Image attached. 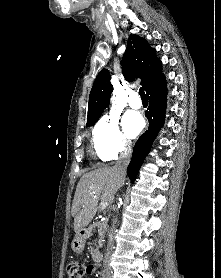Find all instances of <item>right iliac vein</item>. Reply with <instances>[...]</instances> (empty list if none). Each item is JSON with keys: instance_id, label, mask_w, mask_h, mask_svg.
Segmentation results:
<instances>
[{"instance_id": "right-iliac-vein-1", "label": "right iliac vein", "mask_w": 221, "mask_h": 278, "mask_svg": "<svg viewBox=\"0 0 221 278\" xmlns=\"http://www.w3.org/2000/svg\"><path fill=\"white\" fill-rule=\"evenodd\" d=\"M105 278H112L111 275L106 276Z\"/></svg>"}]
</instances>
